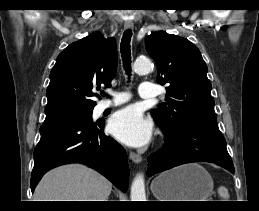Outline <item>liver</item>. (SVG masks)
<instances>
[{"mask_svg": "<svg viewBox=\"0 0 259 211\" xmlns=\"http://www.w3.org/2000/svg\"><path fill=\"white\" fill-rule=\"evenodd\" d=\"M112 184L82 164H68L47 172L35 189L34 201H108Z\"/></svg>", "mask_w": 259, "mask_h": 211, "instance_id": "liver-1", "label": "liver"}]
</instances>
